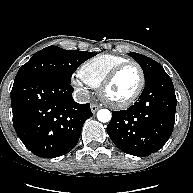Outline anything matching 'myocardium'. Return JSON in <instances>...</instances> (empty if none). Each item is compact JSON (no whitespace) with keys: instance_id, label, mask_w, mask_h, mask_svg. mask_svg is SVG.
<instances>
[{"instance_id":"f54148a6","label":"myocardium","mask_w":193,"mask_h":193,"mask_svg":"<svg viewBox=\"0 0 193 193\" xmlns=\"http://www.w3.org/2000/svg\"><path fill=\"white\" fill-rule=\"evenodd\" d=\"M128 66H134L137 68L139 75H140V81L137 89L135 92L128 97L125 100L122 101H114L108 98L106 92L108 87L111 85V83L114 81L116 76L126 67ZM145 87V73L142 67L135 61H127L124 62L118 66H116L113 70H111L108 75L104 78V80L101 82L99 86V96L101 100L106 103L108 106L115 108V109H123L131 106L141 95L143 89Z\"/></svg>"}]
</instances>
